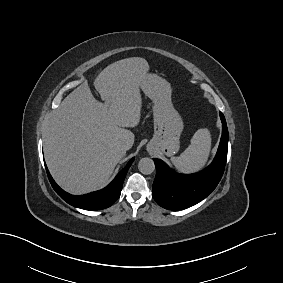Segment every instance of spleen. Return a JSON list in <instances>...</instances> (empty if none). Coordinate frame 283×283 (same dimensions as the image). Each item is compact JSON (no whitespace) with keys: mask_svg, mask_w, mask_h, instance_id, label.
Here are the masks:
<instances>
[{"mask_svg":"<svg viewBox=\"0 0 283 283\" xmlns=\"http://www.w3.org/2000/svg\"><path fill=\"white\" fill-rule=\"evenodd\" d=\"M211 150V135L207 128L198 129L190 145L178 157H172L175 168L183 173H193L202 169Z\"/></svg>","mask_w":283,"mask_h":283,"instance_id":"spleen-1","label":"spleen"}]
</instances>
